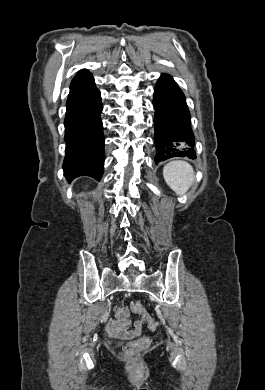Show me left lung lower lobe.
<instances>
[{
	"instance_id": "1",
	"label": "left lung lower lobe",
	"mask_w": 265,
	"mask_h": 390,
	"mask_svg": "<svg viewBox=\"0 0 265 390\" xmlns=\"http://www.w3.org/2000/svg\"><path fill=\"white\" fill-rule=\"evenodd\" d=\"M155 162L172 157L196 158L194 134L185 96L173 78L162 74L154 88Z\"/></svg>"
}]
</instances>
